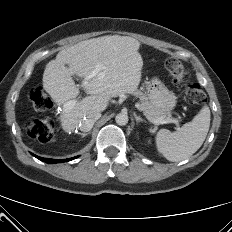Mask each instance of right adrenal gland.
Here are the masks:
<instances>
[{
	"label": "right adrenal gland",
	"mask_w": 232,
	"mask_h": 232,
	"mask_svg": "<svg viewBox=\"0 0 232 232\" xmlns=\"http://www.w3.org/2000/svg\"><path fill=\"white\" fill-rule=\"evenodd\" d=\"M91 132H87V133H80V132H77L78 135H81V137H85L87 136L88 134H90Z\"/></svg>",
	"instance_id": "2a0ac1e0"
}]
</instances>
